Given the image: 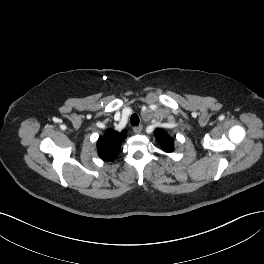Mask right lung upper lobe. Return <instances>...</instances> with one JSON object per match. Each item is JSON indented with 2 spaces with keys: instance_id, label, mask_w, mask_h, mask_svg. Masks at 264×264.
Returning <instances> with one entry per match:
<instances>
[{
  "instance_id": "cb5924a9",
  "label": "right lung upper lobe",
  "mask_w": 264,
  "mask_h": 264,
  "mask_svg": "<svg viewBox=\"0 0 264 264\" xmlns=\"http://www.w3.org/2000/svg\"><path fill=\"white\" fill-rule=\"evenodd\" d=\"M126 136V130L117 132L113 129H108L105 135L97 141L99 157L104 161L113 160L117 156L121 143Z\"/></svg>"
}]
</instances>
